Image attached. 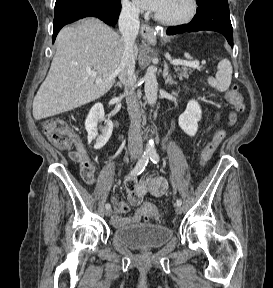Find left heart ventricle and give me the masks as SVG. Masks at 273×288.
<instances>
[{"label": "left heart ventricle", "mask_w": 273, "mask_h": 288, "mask_svg": "<svg viewBox=\"0 0 273 288\" xmlns=\"http://www.w3.org/2000/svg\"><path fill=\"white\" fill-rule=\"evenodd\" d=\"M189 10L190 0H164L156 13L167 19H177L185 16Z\"/></svg>", "instance_id": "left-heart-ventricle-1"}]
</instances>
